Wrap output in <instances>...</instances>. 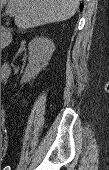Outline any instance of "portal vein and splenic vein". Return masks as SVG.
Here are the masks:
<instances>
[{
  "mask_svg": "<svg viewBox=\"0 0 109 170\" xmlns=\"http://www.w3.org/2000/svg\"><path fill=\"white\" fill-rule=\"evenodd\" d=\"M2 1H5V0H2ZM6 14H8L9 16H15L16 14L15 9L11 6L7 7Z\"/></svg>",
  "mask_w": 109,
  "mask_h": 170,
  "instance_id": "1",
  "label": "portal vein and splenic vein"
}]
</instances>
